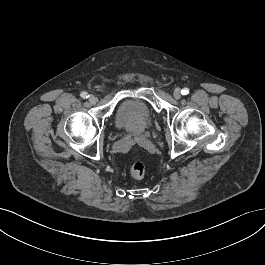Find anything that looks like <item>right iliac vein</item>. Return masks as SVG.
<instances>
[{
  "mask_svg": "<svg viewBox=\"0 0 265 265\" xmlns=\"http://www.w3.org/2000/svg\"><path fill=\"white\" fill-rule=\"evenodd\" d=\"M89 102L95 104L97 102V98L94 95H90Z\"/></svg>",
  "mask_w": 265,
  "mask_h": 265,
  "instance_id": "63e3f726",
  "label": "right iliac vein"
}]
</instances>
